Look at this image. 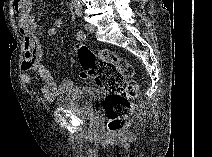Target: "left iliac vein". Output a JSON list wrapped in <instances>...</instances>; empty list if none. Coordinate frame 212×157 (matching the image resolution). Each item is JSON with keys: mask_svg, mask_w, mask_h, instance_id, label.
Listing matches in <instances>:
<instances>
[{"mask_svg": "<svg viewBox=\"0 0 212 157\" xmlns=\"http://www.w3.org/2000/svg\"><path fill=\"white\" fill-rule=\"evenodd\" d=\"M85 29H86V31H88V32H90V33H93V32L95 31L94 25H92V24H90V23H87V24L85 25Z\"/></svg>", "mask_w": 212, "mask_h": 157, "instance_id": "4c4485c4", "label": "left iliac vein"}]
</instances>
